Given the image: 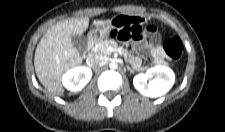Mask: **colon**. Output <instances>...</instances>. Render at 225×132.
I'll use <instances>...</instances> for the list:
<instances>
[{
    "label": "colon",
    "instance_id": "5ec220e1",
    "mask_svg": "<svg viewBox=\"0 0 225 132\" xmlns=\"http://www.w3.org/2000/svg\"><path fill=\"white\" fill-rule=\"evenodd\" d=\"M152 29V25L121 26L114 29L112 35L123 41L140 40L143 38L145 32H151ZM163 50L167 57L178 61L182 57V42L177 36L165 37L163 40Z\"/></svg>",
    "mask_w": 225,
    "mask_h": 132
}]
</instances>
